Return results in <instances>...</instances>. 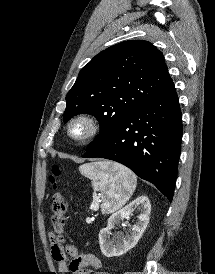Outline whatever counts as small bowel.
<instances>
[{
	"label": "small bowel",
	"instance_id": "obj_1",
	"mask_svg": "<svg viewBox=\"0 0 215 274\" xmlns=\"http://www.w3.org/2000/svg\"><path fill=\"white\" fill-rule=\"evenodd\" d=\"M51 241L52 257L61 273L91 274L89 267L96 270L94 274H108L101 260L87 251H80L75 245ZM71 256V260L68 259Z\"/></svg>",
	"mask_w": 215,
	"mask_h": 274
}]
</instances>
